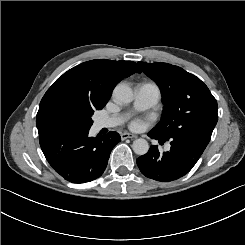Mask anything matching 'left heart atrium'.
Wrapping results in <instances>:
<instances>
[{"instance_id": "obj_1", "label": "left heart atrium", "mask_w": 245, "mask_h": 245, "mask_svg": "<svg viewBox=\"0 0 245 245\" xmlns=\"http://www.w3.org/2000/svg\"><path fill=\"white\" fill-rule=\"evenodd\" d=\"M133 126L134 127H141L142 126V122L139 121V120H136V121L133 122Z\"/></svg>"}]
</instances>
